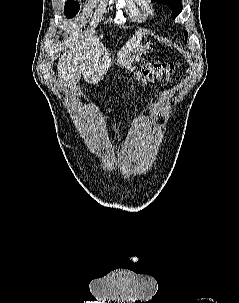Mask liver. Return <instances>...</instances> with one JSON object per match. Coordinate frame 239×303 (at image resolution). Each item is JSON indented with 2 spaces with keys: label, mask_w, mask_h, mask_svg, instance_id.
I'll return each mask as SVG.
<instances>
[{
  "label": "liver",
  "mask_w": 239,
  "mask_h": 303,
  "mask_svg": "<svg viewBox=\"0 0 239 303\" xmlns=\"http://www.w3.org/2000/svg\"><path fill=\"white\" fill-rule=\"evenodd\" d=\"M143 35V32H137L126 42L117 53V64L127 63ZM111 64L109 50L99 37L90 35L61 55L57 65L58 76L70 88L79 82L81 73L87 82L97 83L103 80Z\"/></svg>",
  "instance_id": "liver-1"
}]
</instances>
